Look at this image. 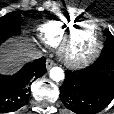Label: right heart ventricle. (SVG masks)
<instances>
[{
    "label": "right heart ventricle",
    "mask_w": 114,
    "mask_h": 114,
    "mask_svg": "<svg viewBox=\"0 0 114 114\" xmlns=\"http://www.w3.org/2000/svg\"><path fill=\"white\" fill-rule=\"evenodd\" d=\"M76 22L77 20L74 17L49 20L38 27V38L45 45L56 47Z\"/></svg>",
    "instance_id": "1"
}]
</instances>
